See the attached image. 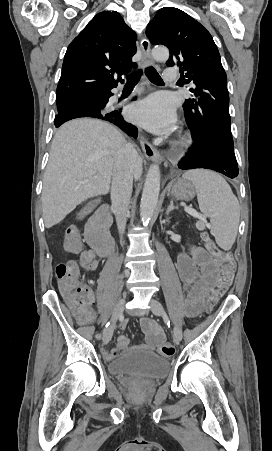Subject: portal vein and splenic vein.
Wrapping results in <instances>:
<instances>
[{
    "instance_id": "portal-vein-and-splenic-vein-1",
    "label": "portal vein and splenic vein",
    "mask_w": 272,
    "mask_h": 451,
    "mask_svg": "<svg viewBox=\"0 0 272 451\" xmlns=\"http://www.w3.org/2000/svg\"><path fill=\"white\" fill-rule=\"evenodd\" d=\"M185 212H187V214H190V216H193V218H200L198 212H196V210H192V208H184Z\"/></svg>"
}]
</instances>
